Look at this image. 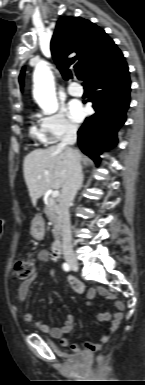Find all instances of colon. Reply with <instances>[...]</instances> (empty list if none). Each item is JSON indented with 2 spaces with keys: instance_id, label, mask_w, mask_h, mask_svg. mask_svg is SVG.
<instances>
[{
  "instance_id": "5ec220e1",
  "label": "colon",
  "mask_w": 145,
  "mask_h": 385,
  "mask_svg": "<svg viewBox=\"0 0 145 385\" xmlns=\"http://www.w3.org/2000/svg\"><path fill=\"white\" fill-rule=\"evenodd\" d=\"M34 269L35 260L33 258L21 257L14 265V275L17 280L25 282L32 277ZM87 348L92 351L96 349L93 345H88Z\"/></svg>"
}]
</instances>
